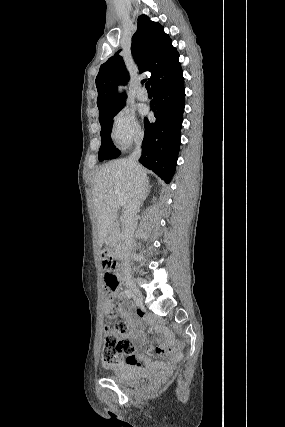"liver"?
<instances>
[{
  "label": "liver",
  "instance_id": "6515ba94",
  "mask_svg": "<svg viewBox=\"0 0 285 427\" xmlns=\"http://www.w3.org/2000/svg\"><path fill=\"white\" fill-rule=\"evenodd\" d=\"M141 168L146 175V169ZM133 187L132 169L126 158L109 162L96 173L92 186V199L100 246L108 237L117 217L118 195H122L125 206L130 199Z\"/></svg>",
  "mask_w": 285,
  "mask_h": 427
}]
</instances>
